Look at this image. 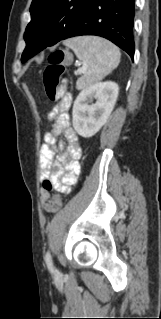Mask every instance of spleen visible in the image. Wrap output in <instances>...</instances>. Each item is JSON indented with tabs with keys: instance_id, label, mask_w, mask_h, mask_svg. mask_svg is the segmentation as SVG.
<instances>
[{
	"instance_id": "3e777b00",
	"label": "spleen",
	"mask_w": 161,
	"mask_h": 319,
	"mask_svg": "<svg viewBox=\"0 0 161 319\" xmlns=\"http://www.w3.org/2000/svg\"><path fill=\"white\" fill-rule=\"evenodd\" d=\"M64 44L74 51L87 69L86 74L76 82L78 90H85L98 83L119 65V49L100 37H76L65 41Z\"/></svg>"
}]
</instances>
